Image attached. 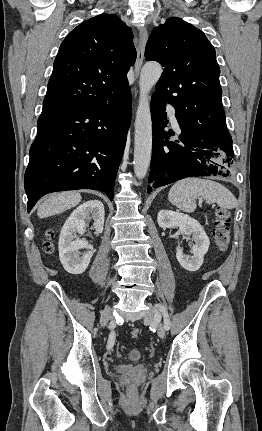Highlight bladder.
Instances as JSON below:
<instances>
[{"label":"bladder","instance_id":"31cf9c89","mask_svg":"<svg viewBox=\"0 0 262 431\" xmlns=\"http://www.w3.org/2000/svg\"><path fill=\"white\" fill-rule=\"evenodd\" d=\"M127 355L128 358L132 361H139L144 357L143 352L139 349H131L130 351H128Z\"/></svg>","mask_w":262,"mask_h":431}]
</instances>
